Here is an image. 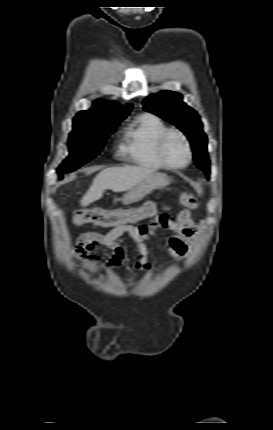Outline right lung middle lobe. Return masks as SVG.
Returning a JSON list of instances; mask_svg holds the SVG:
<instances>
[{
	"instance_id": "1",
	"label": "right lung middle lobe",
	"mask_w": 273,
	"mask_h": 430,
	"mask_svg": "<svg viewBox=\"0 0 273 430\" xmlns=\"http://www.w3.org/2000/svg\"><path fill=\"white\" fill-rule=\"evenodd\" d=\"M119 123L91 122L74 119L73 131L69 135V156L59 166L57 172L62 179L65 173L72 172L96 157L106 139Z\"/></svg>"
}]
</instances>
